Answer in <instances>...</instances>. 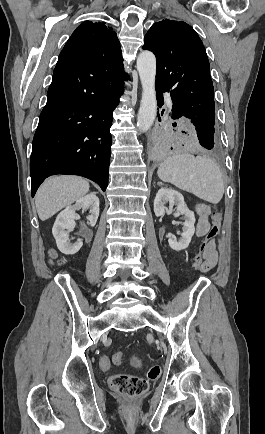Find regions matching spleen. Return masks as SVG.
Listing matches in <instances>:
<instances>
[{
  "instance_id": "spleen-1",
  "label": "spleen",
  "mask_w": 265,
  "mask_h": 434,
  "mask_svg": "<svg viewBox=\"0 0 265 434\" xmlns=\"http://www.w3.org/2000/svg\"><path fill=\"white\" fill-rule=\"evenodd\" d=\"M157 174L162 182H171L179 190L191 192L210 204H219L223 198L221 170L215 160L207 156L175 154L160 164Z\"/></svg>"
}]
</instances>
